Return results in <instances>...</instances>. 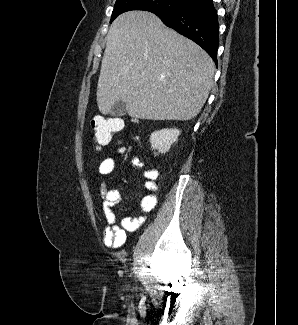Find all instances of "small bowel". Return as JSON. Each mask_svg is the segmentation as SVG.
<instances>
[{
	"label": "small bowel",
	"mask_w": 298,
	"mask_h": 325,
	"mask_svg": "<svg viewBox=\"0 0 298 325\" xmlns=\"http://www.w3.org/2000/svg\"><path fill=\"white\" fill-rule=\"evenodd\" d=\"M115 159L113 157L104 158L97 169L99 177H105L111 174L115 169ZM158 170L155 168H147L144 173V187L150 192H155L158 189ZM100 197L102 200L103 215L106 225L103 230V242L107 247L113 249L121 248L127 239V233H133L141 227L145 222L146 216L138 218L126 216L117 222L116 214L113 210L114 206L121 200V192L115 188H106L102 185L100 189ZM157 198L151 193L145 195L140 203L139 210L143 214L150 213L156 206Z\"/></svg>",
	"instance_id": "small-bowel-1"
}]
</instances>
